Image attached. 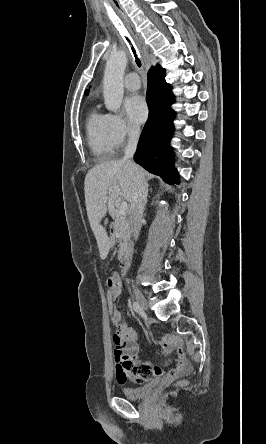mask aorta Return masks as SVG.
Masks as SVG:
<instances>
[{
	"mask_svg": "<svg viewBox=\"0 0 266 444\" xmlns=\"http://www.w3.org/2000/svg\"><path fill=\"white\" fill-rule=\"evenodd\" d=\"M126 65L127 55L124 51L113 52L107 60L103 78V94L105 107L109 111L116 112L121 106Z\"/></svg>",
	"mask_w": 266,
	"mask_h": 444,
	"instance_id": "obj_1",
	"label": "aorta"
}]
</instances>
